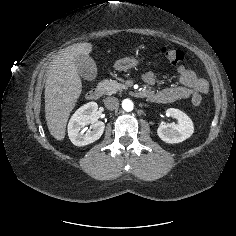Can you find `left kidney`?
I'll list each match as a JSON object with an SVG mask.
<instances>
[{
  "label": "left kidney",
  "instance_id": "left-kidney-1",
  "mask_svg": "<svg viewBox=\"0 0 236 236\" xmlns=\"http://www.w3.org/2000/svg\"><path fill=\"white\" fill-rule=\"evenodd\" d=\"M167 114L175 119L178 123L172 126L161 123L157 129L159 138L170 144L180 143L189 138L194 132L192 120L182 111L170 108Z\"/></svg>",
  "mask_w": 236,
  "mask_h": 236
}]
</instances>
